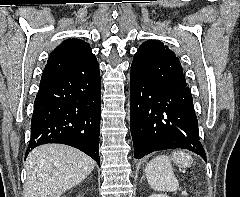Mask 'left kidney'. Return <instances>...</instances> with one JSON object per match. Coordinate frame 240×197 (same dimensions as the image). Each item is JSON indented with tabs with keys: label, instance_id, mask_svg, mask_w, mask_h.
Returning <instances> with one entry per match:
<instances>
[{
	"label": "left kidney",
	"instance_id": "obj_1",
	"mask_svg": "<svg viewBox=\"0 0 240 197\" xmlns=\"http://www.w3.org/2000/svg\"><path fill=\"white\" fill-rule=\"evenodd\" d=\"M149 197H168V196L165 194H152Z\"/></svg>",
	"mask_w": 240,
	"mask_h": 197
}]
</instances>
